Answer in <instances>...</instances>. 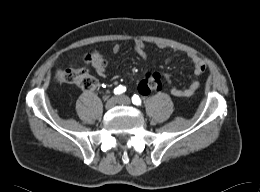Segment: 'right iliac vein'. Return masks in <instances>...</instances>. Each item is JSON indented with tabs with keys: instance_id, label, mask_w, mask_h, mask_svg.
Wrapping results in <instances>:
<instances>
[{
	"instance_id": "1",
	"label": "right iliac vein",
	"mask_w": 260,
	"mask_h": 192,
	"mask_svg": "<svg viewBox=\"0 0 260 192\" xmlns=\"http://www.w3.org/2000/svg\"><path fill=\"white\" fill-rule=\"evenodd\" d=\"M117 102H118L117 97L110 98L105 104L106 109H112L117 104Z\"/></svg>"
}]
</instances>
